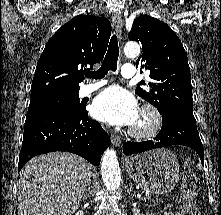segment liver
Returning <instances> with one entry per match:
<instances>
[{
	"mask_svg": "<svg viewBox=\"0 0 221 215\" xmlns=\"http://www.w3.org/2000/svg\"><path fill=\"white\" fill-rule=\"evenodd\" d=\"M92 166L68 152L33 157L19 176L18 215H71L80 206Z\"/></svg>",
	"mask_w": 221,
	"mask_h": 215,
	"instance_id": "obj_1",
	"label": "liver"
}]
</instances>
